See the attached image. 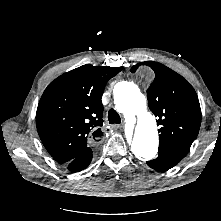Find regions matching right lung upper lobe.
<instances>
[{"label":"right lung upper lobe","instance_id":"cb5924a9","mask_svg":"<svg viewBox=\"0 0 221 221\" xmlns=\"http://www.w3.org/2000/svg\"><path fill=\"white\" fill-rule=\"evenodd\" d=\"M118 67L83 65L56 78L45 89L36 112L41 141L60 164L89 149L103 132L101 101Z\"/></svg>","mask_w":221,"mask_h":221}]
</instances>
